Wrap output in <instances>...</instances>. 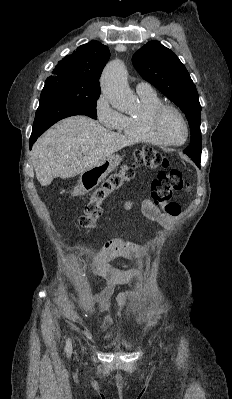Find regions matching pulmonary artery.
Segmentation results:
<instances>
[{
    "label": "pulmonary artery",
    "mask_w": 232,
    "mask_h": 399,
    "mask_svg": "<svg viewBox=\"0 0 232 399\" xmlns=\"http://www.w3.org/2000/svg\"><path fill=\"white\" fill-rule=\"evenodd\" d=\"M138 96H153V85L152 83H146L145 81H139Z\"/></svg>",
    "instance_id": "pulmonary-artery-1"
}]
</instances>
